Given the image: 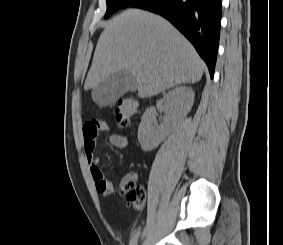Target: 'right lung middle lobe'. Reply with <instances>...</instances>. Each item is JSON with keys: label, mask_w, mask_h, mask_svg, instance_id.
I'll use <instances>...</instances> for the list:
<instances>
[{"label": "right lung middle lobe", "mask_w": 283, "mask_h": 245, "mask_svg": "<svg viewBox=\"0 0 283 245\" xmlns=\"http://www.w3.org/2000/svg\"><path fill=\"white\" fill-rule=\"evenodd\" d=\"M139 1L140 0H106L107 11L104 17L108 18L112 13H114L118 9L130 7Z\"/></svg>", "instance_id": "dd1d6c3e"}]
</instances>
